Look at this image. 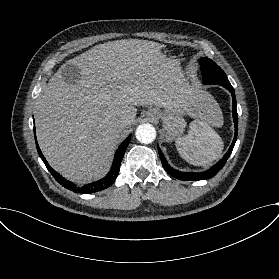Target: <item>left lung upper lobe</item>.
I'll return each mask as SVG.
<instances>
[{
    "mask_svg": "<svg viewBox=\"0 0 279 279\" xmlns=\"http://www.w3.org/2000/svg\"><path fill=\"white\" fill-rule=\"evenodd\" d=\"M199 63L204 84H218L223 87L231 86L225 72L214 61L203 57Z\"/></svg>",
    "mask_w": 279,
    "mask_h": 279,
    "instance_id": "obj_1",
    "label": "left lung upper lobe"
}]
</instances>
